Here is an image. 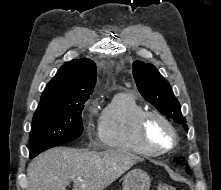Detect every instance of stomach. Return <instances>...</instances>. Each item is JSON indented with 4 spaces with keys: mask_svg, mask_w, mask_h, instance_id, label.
<instances>
[{
    "mask_svg": "<svg viewBox=\"0 0 221 190\" xmlns=\"http://www.w3.org/2000/svg\"><path fill=\"white\" fill-rule=\"evenodd\" d=\"M150 183V177L145 171L134 169L125 175L122 190H149Z\"/></svg>",
    "mask_w": 221,
    "mask_h": 190,
    "instance_id": "1",
    "label": "stomach"
}]
</instances>
